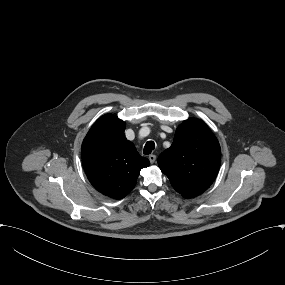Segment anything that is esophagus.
Returning a JSON list of instances; mask_svg holds the SVG:
<instances>
[{
    "instance_id": "34e87169",
    "label": "esophagus",
    "mask_w": 285,
    "mask_h": 285,
    "mask_svg": "<svg viewBox=\"0 0 285 285\" xmlns=\"http://www.w3.org/2000/svg\"><path fill=\"white\" fill-rule=\"evenodd\" d=\"M156 160V155H149V161L151 164H153Z\"/></svg>"
}]
</instances>
